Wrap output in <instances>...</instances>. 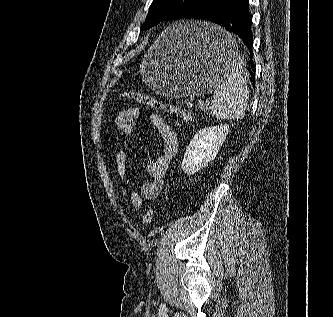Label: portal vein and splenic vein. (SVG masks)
Wrapping results in <instances>:
<instances>
[{
	"label": "portal vein and splenic vein",
	"mask_w": 333,
	"mask_h": 317,
	"mask_svg": "<svg viewBox=\"0 0 333 317\" xmlns=\"http://www.w3.org/2000/svg\"><path fill=\"white\" fill-rule=\"evenodd\" d=\"M201 103H204V102H201ZM208 103V101H205V104H207ZM193 105H192V103H187V107L188 108H191Z\"/></svg>",
	"instance_id": "obj_1"
}]
</instances>
